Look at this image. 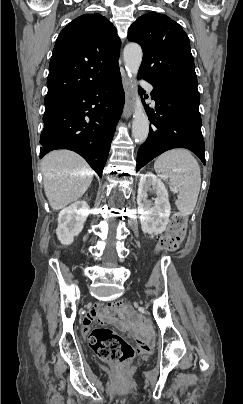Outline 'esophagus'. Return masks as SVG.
Masks as SVG:
<instances>
[{
  "instance_id": "esophagus-1",
  "label": "esophagus",
  "mask_w": 243,
  "mask_h": 404,
  "mask_svg": "<svg viewBox=\"0 0 243 404\" xmlns=\"http://www.w3.org/2000/svg\"><path fill=\"white\" fill-rule=\"evenodd\" d=\"M122 82L123 88L125 92V105L123 109V118H130L133 112L134 102H133V88L129 77H127L126 73L122 72Z\"/></svg>"
}]
</instances>
